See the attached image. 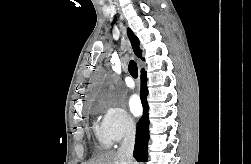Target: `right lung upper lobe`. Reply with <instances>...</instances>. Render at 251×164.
<instances>
[{
  "label": "right lung upper lobe",
  "mask_w": 251,
  "mask_h": 164,
  "mask_svg": "<svg viewBox=\"0 0 251 164\" xmlns=\"http://www.w3.org/2000/svg\"><path fill=\"white\" fill-rule=\"evenodd\" d=\"M127 34H128V38H129V40L131 42V45H132V48H133V51H134L135 55L137 57H140L142 60H144L141 57L142 51L139 48V40H138V38L135 36V34L129 28L127 30Z\"/></svg>",
  "instance_id": "cb5924a9"
}]
</instances>
